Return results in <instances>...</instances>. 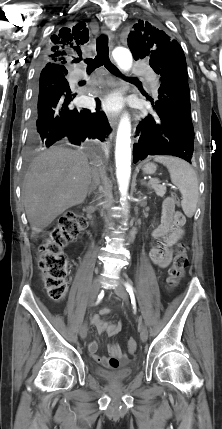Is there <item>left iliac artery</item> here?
Masks as SVG:
<instances>
[{
    "instance_id": "44dca946",
    "label": "left iliac artery",
    "mask_w": 222,
    "mask_h": 429,
    "mask_svg": "<svg viewBox=\"0 0 222 429\" xmlns=\"http://www.w3.org/2000/svg\"><path fill=\"white\" fill-rule=\"evenodd\" d=\"M124 285L126 287L127 292H129V294L131 295V293H133L134 291L133 287L129 283H125Z\"/></svg>"
}]
</instances>
